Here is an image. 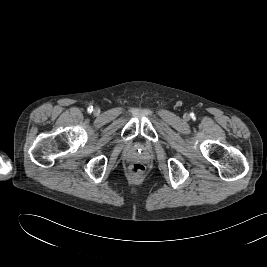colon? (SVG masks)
Instances as JSON below:
<instances>
[{
  "instance_id": "5ec220e1",
  "label": "colon",
  "mask_w": 267,
  "mask_h": 267,
  "mask_svg": "<svg viewBox=\"0 0 267 267\" xmlns=\"http://www.w3.org/2000/svg\"><path fill=\"white\" fill-rule=\"evenodd\" d=\"M145 172V167L140 163H134L130 166V173L134 177H141Z\"/></svg>"
}]
</instances>
